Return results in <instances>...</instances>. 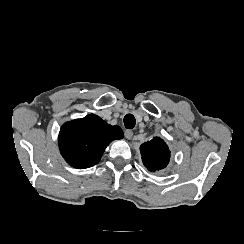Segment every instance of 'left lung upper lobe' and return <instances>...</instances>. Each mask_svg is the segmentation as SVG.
<instances>
[{"label": "left lung upper lobe", "mask_w": 244, "mask_h": 244, "mask_svg": "<svg viewBox=\"0 0 244 244\" xmlns=\"http://www.w3.org/2000/svg\"><path fill=\"white\" fill-rule=\"evenodd\" d=\"M140 151L143 164L151 172L165 168L170 159L168 146L159 137H154L152 140L142 144Z\"/></svg>", "instance_id": "left-lung-upper-lobe-1"}]
</instances>
